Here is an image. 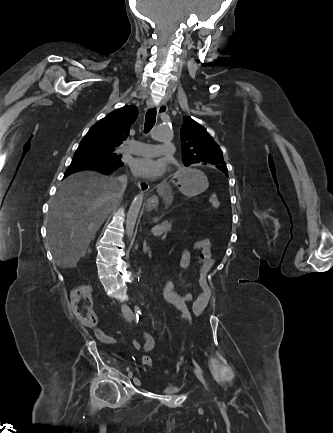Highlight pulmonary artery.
Returning <instances> with one entry per match:
<instances>
[{
  "mask_svg": "<svg viewBox=\"0 0 333 433\" xmlns=\"http://www.w3.org/2000/svg\"><path fill=\"white\" fill-rule=\"evenodd\" d=\"M125 151L139 156H154L158 154L172 155L174 146L170 142H164L162 145H152L143 142H134L125 147Z\"/></svg>",
  "mask_w": 333,
  "mask_h": 433,
  "instance_id": "obj_1",
  "label": "pulmonary artery"
}]
</instances>
